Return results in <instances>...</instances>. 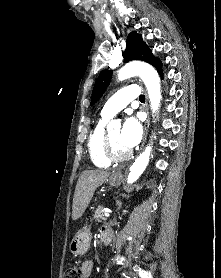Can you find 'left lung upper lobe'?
<instances>
[{
	"label": "left lung upper lobe",
	"mask_w": 221,
	"mask_h": 278,
	"mask_svg": "<svg viewBox=\"0 0 221 278\" xmlns=\"http://www.w3.org/2000/svg\"><path fill=\"white\" fill-rule=\"evenodd\" d=\"M126 50L123 53L124 62L127 63L132 60L145 61L157 68L161 69V62L159 59L154 58L152 51L143 42L141 35L137 34L136 31L130 33L127 37ZM112 77V71L105 69L103 70L94 85L91 105L95 104L98 99L102 96L106 88L108 87Z\"/></svg>",
	"instance_id": "5c2ea615"
}]
</instances>
